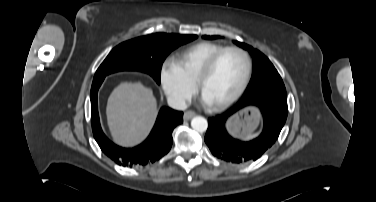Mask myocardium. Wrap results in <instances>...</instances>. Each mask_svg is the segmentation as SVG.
<instances>
[{
  "instance_id": "obj_1",
  "label": "myocardium",
  "mask_w": 376,
  "mask_h": 202,
  "mask_svg": "<svg viewBox=\"0 0 376 202\" xmlns=\"http://www.w3.org/2000/svg\"><path fill=\"white\" fill-rule=\"evenodd\" d=\"M228 52H236L244 58L245 73H244V77L242 79L240 86L230 97H228L227 99H225L224 101L220 103L210 104L211 108L216 111L226 109L243 94V92L246 90L249 84L251 73H252V68H253L252 59L246 50L237 46L224 47L223 49H221L220 51L215 53L211 58L208 59V61L203 65L199 74L197 75V78L195 80V85L202 95H203L202 88H203V84L205 80L211 74V72L213 71L214 67L216 66L220 58Z\"/></svg>"
}]
</instances>
